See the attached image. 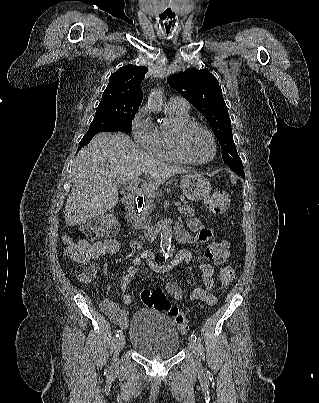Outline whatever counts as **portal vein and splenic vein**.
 Here are the masks:
<instances>
[{"label":"portal vein and splenic vein","mask_w":319,"mask_h":403,"mask_svg":"<svg viewBox=\"0 0 319 403\" xmlns=\"http://www.w3.org/2000/svg\"><path fill=\"white\" fill-rule=\"evenodd\" d=\"M139 181H140V179L137 178V179H135V180H133V181L125 182V183L123 184V186L126 188V190H128V191H130V192H134V193H136V194H140L141 191H140V189L138 188ZM144 191H145V190H144ZM146 192H147V191H146ZM145 196L149 197V195H148L147 193H145ZM147 201H148L151 205H153V200H152V199H149V200H147ZM174 205H175V206H180V205H181V202L177 201V202L174 203Z\"/></svg>","instance_id":"1"}]
</instances>
